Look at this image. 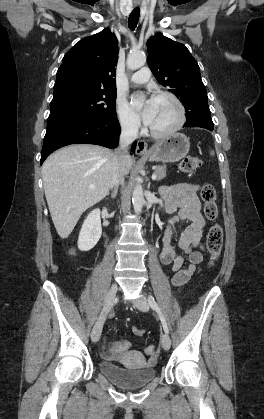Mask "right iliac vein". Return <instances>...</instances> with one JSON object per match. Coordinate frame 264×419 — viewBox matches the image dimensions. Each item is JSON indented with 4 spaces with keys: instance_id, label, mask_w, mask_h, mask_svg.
<instances>
[{
    "instance_id": "63e3f726",
    "label": "right iliac vein",
    "mask_w": 264,
    "mask_h": 419,
    "mask_svg": "<svg viewBox=\"0 0 264 419\" xmlns=\"http://www.w3.org/2000/svg\"><path fill=\"white\" fill-rule=\"evenodd\" d=\"M117 290L118 287L117 285H112L111 288L109 289L105 301H104V305H103V311L102 314L99 318V320L96 322V324L94 325L92 332H91V339L93 342H97L101 336V332H102V328H103V324L106 318V315L108 314V312L110 311V309L112 308L115 299H116V294H117Z\"/></svg>"
}]
</instances>
